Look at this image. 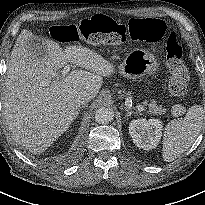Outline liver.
Here are the masks:
<instances>
[{"instance_id": "obj_1", "label": "liver", "mask_w": 205, "mask_h": 205, "mask_svg": "<svg viewBox=\"0 0 205 205\" xmlns=\"http://www.w3.org/2000/svg\"><path fill=\"white\" fill-rule=\"evenodd\" d=\"M31 40L42 44L44 56L31 49ZM68 62L85 70L63 77L60 69ZM114 71L89 48L72 45L63 50L55 41L23 30L11 53L3 96V115L13 139L33 153L46 150L76 118V95L86 92L93 99L103 77Z\"/></svg>"}]
</instances>
